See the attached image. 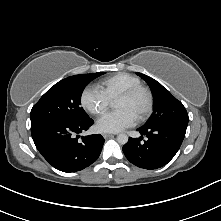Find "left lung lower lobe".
<instances>
[{
  "label": "left lung lower lobe",
  "instance_id": "1",
  "mask_svg": "<svg viewBox=\"0 0 221 221\" xmlns=\"http://www.w3.org/2000/svg\"><path fill=\"white\" fill-rule=\"evenodd\" d=\"M187 123L171 122L137 129L143 137L129 138L123 146L126 158L144 169H157L166 165L179 150L186 133Z\"/></svg>",
  "mask_w": 221,
  "mask_h": 221
}]
</instances>
